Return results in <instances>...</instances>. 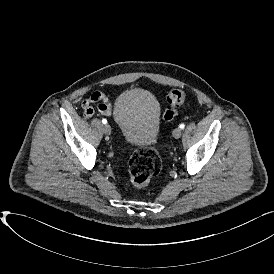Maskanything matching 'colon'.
<instances>
[{
  "instance_id": "1",
  "label": "colon",
  "mask_w": 274,
  "mask_h": 274,
  "mask_svg": "<svg viewBox=\"0 0 274 274\" xmlns=\"http://www.w3.org/2000/svg\"><path fill=\"white\" fill-rule=\"evenodd\" d=\"M166 99L163 118L165 121H171L177 113V108L185 101V94L181 90L174 89ZM161 165L159 153L149 145L136 150L129 163L131 185L135 188L146 187L152 177L159 172Z\"/></svg>"
}]
</instances>
